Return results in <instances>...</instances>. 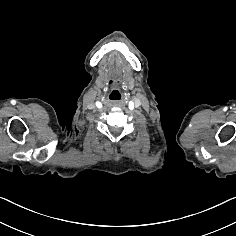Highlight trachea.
<instances>
[{"label": "trachea", "instance_id": "trachea-1", "mask_svg": "<svg viewBox=\"0 0 236 236\" xmlns=\"http://www.w3.org/2000/svg\"><path fill=\"white\" fill-rule=\"evenodd\" d=\"M123 92L120 91V90H117V89H112L110 92H109V99L114 101V102H119L122 98H123Z\"/></svg>", "mask_w": 236, "mask_h": 236}]
</instances>
